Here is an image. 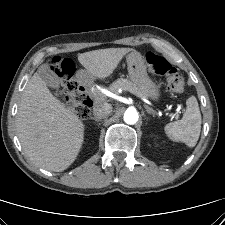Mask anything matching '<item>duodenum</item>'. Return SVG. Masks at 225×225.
I'll use <instances>...</instances> for the list:
<instances>
[{"instance_id":"obj_1","label":"duodenum","mask_w":225,"mask_h":225,"mask_svg":"<svg viewBox=\"0 0 225 225\" xmlns=\"http://www.w3.org/2000/svg\"><path fill=\"white\" fill-rule=\"evenodd\" d=\"M78 83H79L80 89H81V91L83 92V94L86 95V96H88V94H87L86 79L83 78V77H80ZM88 97H89V96H88ZM89 98H90V97H89Z\"/></svg>"}]
</instances>
